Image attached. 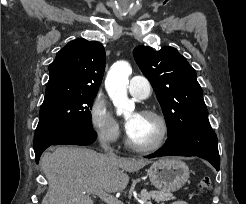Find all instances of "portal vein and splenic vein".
I'll list each match as a JSON object with an SVG mask.
<instances>
[{
	"instance_id": "18ae733b",
	"label": "portal vein and splenic vein",
	"mask_w": 246,
	"mask_h": 204,
	"mask_svg": "<svg viewBox=\"0 0 246 204\" xmlns=\"http://www.w3.org/2000/svg\"><path fill=\"white\" fill-rule=\"evenodd\" d=\"M92 193H95L98 195L103 201H105L107 204H123L122 201L119 199L115 198L111 194L107 193L106 191L99 189L97 187H94L91 190ZM146 204H152L151 202H146Z\"/></svg>"
}]
</instances>
